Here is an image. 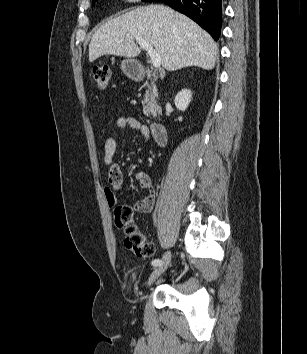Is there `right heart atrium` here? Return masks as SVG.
<instances>
[{"label":"right heart atrium","mask_w":307,"mask_h":354,"mask_svg":"<svg viewBox=\"0 0 307 354\" xmlns=\"http://www.w3.org/2000/svg\"><path fill=\"white\" fill-rule=\"evenodd\" d=\"M128 2H138L139 0H127Z\"/></svg>","instance_id":"1"}]
</instances>
